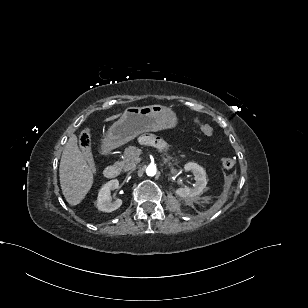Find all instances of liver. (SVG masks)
I'll return each instance as SVG.
<instances>
[{"label":"liver","mask_w":308,"mask_h":308,"mask_svg":"<svg viewBox=\"0 0 308 308\" xmlns=\"http://www.w3.org/2000/svg\"><path fill=\"white\" fill-rule=\"evenodd\" d=\"M119 116L113 115L105 121ZM59 176L62 193L70 205L79 204L92 187L93 173L78 148L74 134L70 136L62 152Z\"/></svg>","instance_id":"1"}]
</instances>
